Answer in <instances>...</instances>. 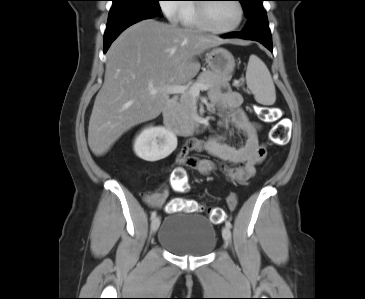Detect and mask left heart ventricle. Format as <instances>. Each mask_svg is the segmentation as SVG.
I'll return each instance as SVG.
<instances>
[{"label": "left heart ventricle", "instance_id": "left-heart-ventricle-1", "mask_svg": "<svg viewBox=\"0 0 365 299\" xmlns=\"http://www.w3.org/2000/svg\"><path fill=\"white\" fill-rule=\"evenodd\" d=\"M208 10L211 24L214 27L229 28L238 22L239 10L234 1L210 3Z\"/></svg>", "mask_w": 365, "mask_h": 299}]
</instances>
